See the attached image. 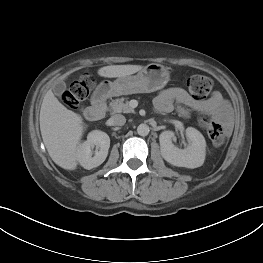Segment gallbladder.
Listing matches in <instances>:
<instances>
[{"label": "gallbladder", "instance_id": "bac80fb5", "mask_svg": "<svg viewBox=\"0 0 263 263\" xmlns=\"http://www.w3.org/2000/svg\"><path fill=\"white\" fill-rule=\"evenodd\" d=\"M52 91L54 92L55 95L61 97L62 94L65 92L66 90V84L63 81H56L53 85H52Z\"/></svg>", "mask_w": 263, "mask_h": 263}]
</instances>
